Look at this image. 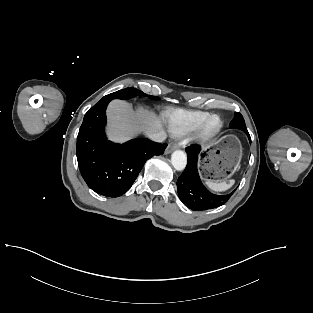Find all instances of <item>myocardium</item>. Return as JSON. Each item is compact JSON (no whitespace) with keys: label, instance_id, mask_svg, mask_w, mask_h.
<instances>
[{"label":"myocardium","instance_id":"obj_1","mask_svg":"<svg viewBox=\"0 0 313 313\" xmlns=\"http://www.w3.org/2000/svg\"><path fill=\"white\" fill-rule=\"evenodd\" d=\"M213 122H216L215 126H212ZM222 128V119L218 115H211L195 130L193 139L200 144H207L220 133Z\"/></svg>","mask_w":313,"mask_h":313}]
</instances>
